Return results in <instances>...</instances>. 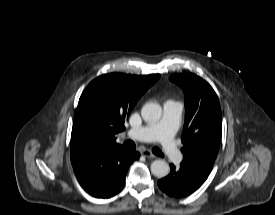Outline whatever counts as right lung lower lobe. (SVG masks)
Masks as SVG:
<instances>
[{"mask_svg":"<svg viewBox=\"0 0 275 215\" xmlns=\"http://www.w3.org/2000/svg\"><path fill=\"white\" fill-rule=\"evenodd\" d=\"M139 156L119 146L95 150L72 165L84 190L97 198H109L123 188L127 171Z\"/></svg>","mask_w":275,"mask_h":215,"instance_id":"right-lung-lower-lobe-1","label":"right lung lower lobe"}]
</instances>
